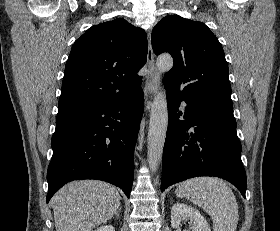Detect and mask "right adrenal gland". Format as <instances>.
<instances>
[{
    "mask_svg": "<svg viewBox=\"0 0 280 231\" xmlns=\"http://www.w3.org/2000/svg\"><path fill=\"white\" fill-rule=\"evenodd\" d=\"M121 209H122V207H119L118 211H115L114 215H120Z\"/></svg>",
    "mask_w": 280,
    "mask_h": 231,
    "instance_id": "obj_1",
    "label": "right adrenal gland"
}]
</instances>
